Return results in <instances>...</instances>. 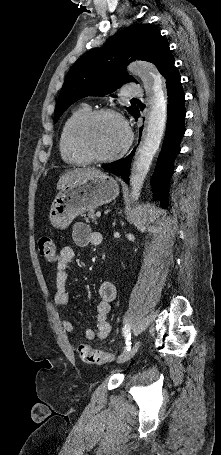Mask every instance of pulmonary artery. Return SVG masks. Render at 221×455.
<instances>
[{"mask_svg": "<svg viewBox=\"0 0 221 455\" xmlns=\"http://www.w3.org/2000/svg\"><path fill=\"white\" fill-rule=\"evenodd\" d=\"M123 94L129 97L143 96V91L138 85L127 84L123 90Z\"/></svg>", "mask_w": 221, "mask_h": 455, "instance_id": "obj_1", "label": "pulmonary artery"}]
</instances>
